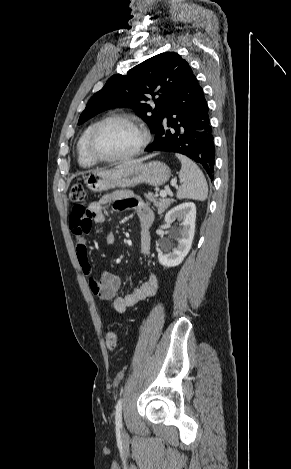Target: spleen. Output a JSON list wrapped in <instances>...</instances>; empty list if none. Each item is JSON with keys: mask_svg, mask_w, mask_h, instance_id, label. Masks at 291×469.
Instances as JSON below:
<instances>
[{"mask_svg": "<svg viewBox=\"0 0 291 469\" xmlns=\"http://www.w3.org/2000/svg\"><path fill=\"white\" fill-rule=\"evenodd\" d=\"M181 161L179 178L182 185L178 188L177 198L204 201L208 196V186L204 174L200 168L189 158L176 154Z\"/></svg>", "mask_w": 291, "mask_h": 469, "instance_id": "1", "label": "spleen"}]
</instances>
